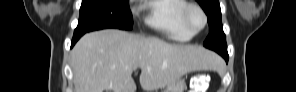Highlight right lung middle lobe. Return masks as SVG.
Masks as SVG:
<instances>
[{
  "label": "right lung middle lobe",
  "mask_w": 296,
  "mask_h": 92,
  "mask_svg": "<svg viewBox=\"0 0 296 92\" xmlns=\"http://www.w3.org/2000/svg\"><path fill=\"white\" fill-rule=\"evenodd\" d=\"M128 2L129 0H83L74 34L82 36L86 32L103 28L132 29L133 19Z\"/></svg>",
  "instance_id": "1"
}]
</instances>
